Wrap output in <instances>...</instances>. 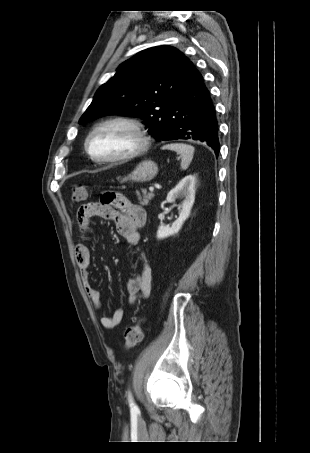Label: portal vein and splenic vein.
Listing matches in <instances>:
<instances>
[{
	"instance_id": "obj_1",
	"label": "portal vein and splenic vein",
	"mask_w": 310,
	"mask_h": 453,
	"mask_svg": "<svg viewBox=\"0 0 310 453\" xmlns=\"http://www.w3.org/2000/svg\"><path fill=\"white\" fill-rule=\"evenodd\" d=\"M149 191H150V192H153V191H154V187H153V186H150V187H149Z\"/></svg>"
}]
</instances>
